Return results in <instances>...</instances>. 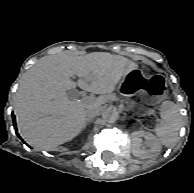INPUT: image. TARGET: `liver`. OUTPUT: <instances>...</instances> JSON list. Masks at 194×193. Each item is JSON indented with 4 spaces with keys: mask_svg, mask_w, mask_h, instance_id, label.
I'll use <instances>...</instances> for the list:
<instances>
[{
    "mask_svg": "<svg viewBox=\"0 0 194 193\" xmlns=\"http://www.w3.org/2000/svg\"><path fill=\"white\" fill-rule=\"evenodd\" d=\"M135 69V62L107 52L42 57L22 76L15 95L21 137L34 148L57 150L80 134L86 125V111L100 110L113 99L117 84ZM75 76L77 83L72 80ZM76 86L100 96L70 99L67 91Z\"/></svg>",
    "mask_w": 194,
    "mask_h": 193,
    "instance_id": "1",
    "label": "liver"
}]
</instances>
